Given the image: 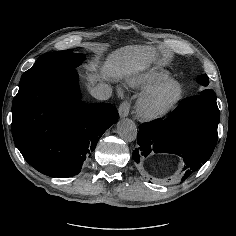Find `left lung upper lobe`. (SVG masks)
<instances>
[{
    "instance_id": "5c2ea615",
    "label": "left lung upper lobe",
    "mask_w": 236,
    "mask_h": 236,
    "mask_svg": "<svg viewBox=\"0 0 236 236\" xmlns=\"http://www.w3.org/2000/svg\"><path fill=\"white\" fill-rule=\"evenodd\" d=\"M208 80H209V78L206 74L199 75L197 78V82L204 87H206L208 85V83H209ZM198 95H206V96L216 98V94L214 93V91L212 89H205V90L201 91Z\"/></svg>"
}]
</instances>
